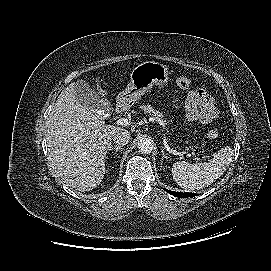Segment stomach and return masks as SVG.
<instances>
[{"mask_svg":"<svg viewBox=\"0 0 271 271\" xmlns=\"http://www.w3.org/2000/svg\"><path fill=\"white\" fill-rule=\"evenodd\" d=\"M168 68L154 61H146L135 67L130 74V83L118 95L117 102L124 106L134 104L154 85L163 87L169 79Z\"/></svg>","mask_w":271,"mask_h":271,"instance_id":"obj_1","label":"stomach"}]
</instances>
